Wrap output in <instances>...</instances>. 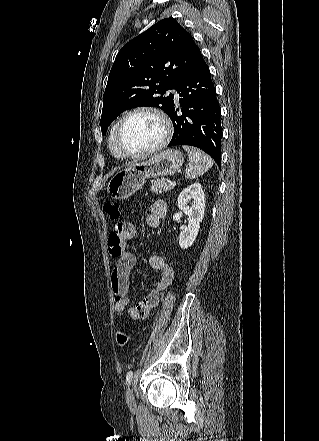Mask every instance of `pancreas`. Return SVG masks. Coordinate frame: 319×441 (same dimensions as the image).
Returning <instances> with one entry per match:
<instances>
[{
    "label": "pancreas",
    "mask_w": 319,
    "mask_h": 441,
    "mask_svg": "<svg viewBox=\"0 0 319 441\" xmlns=\"http://www.w3.org/2000/svg\"><path fill=\"white\" fill-rule=\"evenodd\" d=\"M172 186H170V182L167 178H161L157 180H152L150 183V190L154 194H160L162 192H167L172 190Z\"/></svg>",
    "instance_id": "1"
}]
</instances>
